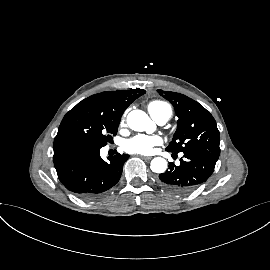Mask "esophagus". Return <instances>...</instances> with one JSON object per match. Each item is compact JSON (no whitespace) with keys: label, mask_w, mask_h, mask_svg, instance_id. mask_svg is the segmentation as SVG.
I'll return each mask as SVG.
<instances>
[{"label":"esophagus","mask_w":270,"mask_h":270,"mask_svg":"<svg viewBox=\"0 0 270 270\" xmlns=\"http://www.w3.org/2000/svg\"><path fill=\"white\" fill-rule=\"evenodd\" d=\"M142 158L145 159V160H151L152 159V157H150V156H143Z\"/></svg>","instance_id":"esophagus-1"}]
</instances>
